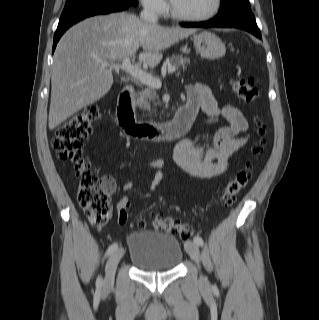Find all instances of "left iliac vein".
Returning a JSON list of instances; mask_svg holds the SVG:
<instances>
[{"label":"left iliac vein","instance_id":"4c4485c4","mask_svg":"<svg viewBox=\"0 0 319 320\" xmlns=\"http://www.w3.org/2000/svg\"><path fill=\"white\" fill-rule=\"evenodd\" d=\"M185 248L190 257L199 265L200 263V252H199V247L196 242L194 241H186L185 242ZM200 281L202 283H205L206 279L201 275L200 276Z\"/></svg>","mask_w":319,"mask_h":320}]
</instances>
